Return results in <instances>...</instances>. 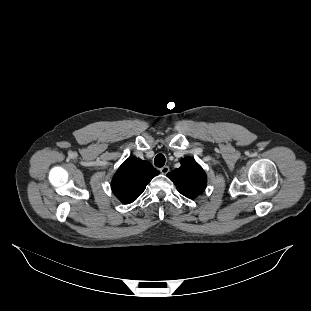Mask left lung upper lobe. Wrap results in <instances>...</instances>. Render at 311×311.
<instances>
[{
  "instance_id": "obj_1",
  "label": "left lung upper lobe",
  "mask_w": 311,
  "mask_h": 311,
  "mask_svg": "<svg viewBox=\"0 0 311 311\" xmlns=\"http://www.w3.org/2000/svg\"><path fill=\"white\" fill-rule=\"evenodd\" d=\"M177 190L187 198L194 199L204 192L207 177L201 166L190 157L181 160V166L167 174Z\"/></svg>"
}]
</instances>
